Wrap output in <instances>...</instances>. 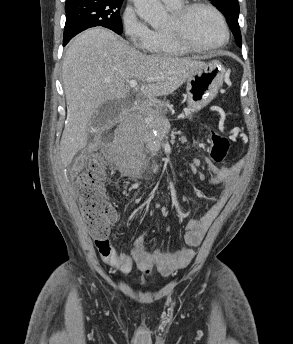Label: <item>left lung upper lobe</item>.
<instances>
[{
  "label": "left lung upper lobe",
  "instance_id": "5c2ea615",
  "mask_svg": "<svg viewBox=\"0 0 293 344\" xmlns=\"http://www.w3.org/2000/svg\"><path fill=\"white\" fill-rule=\"evenodd\" d=\"M212 4L216 6L226 17L228 25L235 37L239 47L242 46V38L240 27L238 24L239 4L238 0H212Z\"/></svg>",
  "mask_w": 293,
  "mask_h": 344
}]
</instances>
